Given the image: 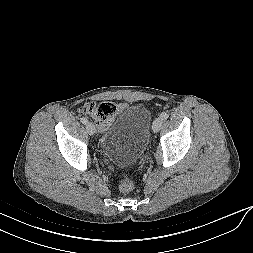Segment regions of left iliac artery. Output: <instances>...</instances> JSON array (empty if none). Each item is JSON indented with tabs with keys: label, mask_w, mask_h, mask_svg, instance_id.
Segmentation results:
<instances>
[{
	"label": "left iliac artery",
	"mask_w": 253,
	"mask_h": 253,
	"mask_svg": "<svg viewBox=\"0 0 253 253\" xmlns=\"http://www.w3.org/2000/svg\"><path fill=\"white\" fill-rule=\"evenodd\" d=\"M160 117H161L163 120H165V119H167V118L169 117V113H168V112H162L161 115H160Z\"/></svg>",
	"instance_id": "left-iliac-artery-1"
}]
</instances>
